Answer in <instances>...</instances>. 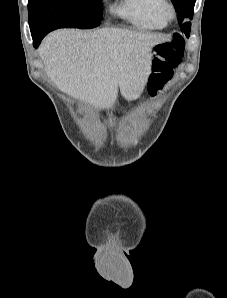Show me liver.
<instances>
[{
    "mask_svg": "<svg viewBox=\"0 0 227 298\" xmlns=\"http://www.w3.org/2000/svg\"><path fill=\"white\" fill-rule=\"evenodd\" d=\"M168 40L128 29H60L45 38L39 55L61 91L106 109L117 100L118 88L127 100L141 95L151 73L152 48Z\"/></svg>",
    "mask_w": 227,
    "mask_h": 298,
    "instance_id": "1",
    "label": "liver"
}]
</instances>
